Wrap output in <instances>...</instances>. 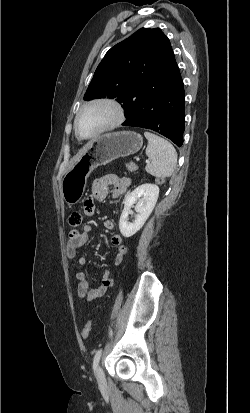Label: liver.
Instances as JSON below:
<instances>
[{"label":"liver","mask_w":250,"mask_h":413,"mask_svg":"<svg viewBox=\"0 0 250 413\" xmlns=\"http://www.w3.org/2000/svg\"><path fill=\"white\" fill-rule=\"evenodd\" d=\"M90 147V144H88L86 147H84L74 158L73 161L78 160Z\"/></svg>","instance_id":"liver-1"}]
</instances>
